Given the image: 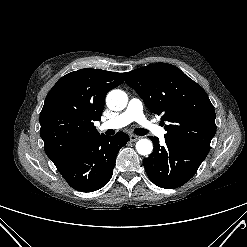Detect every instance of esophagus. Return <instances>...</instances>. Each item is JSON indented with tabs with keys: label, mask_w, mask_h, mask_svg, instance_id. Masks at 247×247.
Instances as JSON below:
<instances>
[{
	"label": "esophagus",
	"mask_w": 247,
	"mask_h": 247,
	"mask_svg": "<svg viewBox=\"0 0 247 247\" xmlns=\"http://www.w3.org/2000/svg\"><path fill=\"white\" fill-rule=\"evenodd\" d=\"M141 137L140 136H137V135H135V134H131L130 135V140L131 141H137L138 139H140Z\"/></svg>",
	"instance_id": "1"
}]
</instances>
